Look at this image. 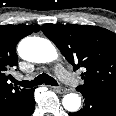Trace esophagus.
Here are the masks:
<instances>
[{"mask_svg": "<svg viewBox=\"0 0 116 116\" xmlns=\"http://www.w3.org/2000/svg\"><path fill=\"white\" fill-rule=\"evenodd\" d=\"M52 88H53L54 91H56L59 94H64V93L67 92V89L64 88V87H56V86H53Z\"/></svg>", "mask_w": 116, "mask_h": 116, "instance_id": "esophagus-1", "label": "esophagus"}]
</instances>
